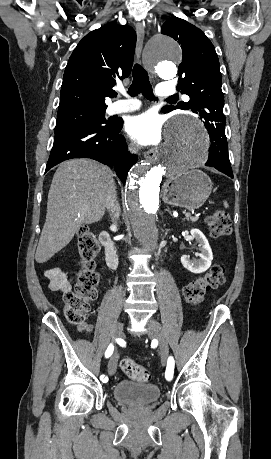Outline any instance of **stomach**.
Returning a JSON list of instances; mask_svg holds the SVG:
<instances>
[{"instance_id": "stomach-1", "label": "stomach", "mask_w": 271, "mask_h": 459, "mask_svg": "<svg viewBox=\"0 0 271 459\" xmlns=\"http://www.w3.org/2000/svg\"><path fill=\"white\" fill-rule=\"evenodd\" d=\"M212 188L213 184L207 174L201 170H192L166 180L162 188V198L169 206L196 210L208 200Z\"/></svg>"}]
</instances>
